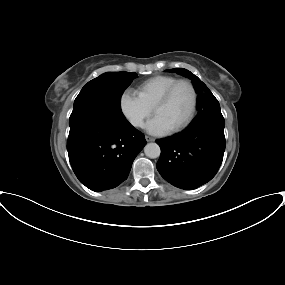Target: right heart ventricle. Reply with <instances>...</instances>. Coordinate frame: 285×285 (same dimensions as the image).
<instances>
[{
	"instance_id": "obj_1",
	"label": "right heart ventricle",
	"mask_w": 285,
	"mask_h": 285,
	"mask_svg": "<svg viewBox=\"0 0 285 285\" xmlns=\"http://www.w3.org/2000/svg\"><path fill=\"white\" fill-rule=\"evenodd\" d=\"M177 80L172 75H157L142 82L137 87V95L150 108H153L164 92Z\"/></svg>"
}]
</instances>
